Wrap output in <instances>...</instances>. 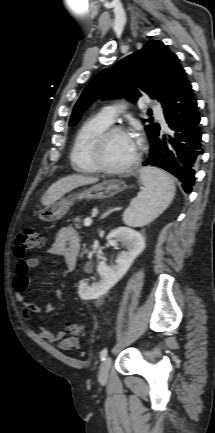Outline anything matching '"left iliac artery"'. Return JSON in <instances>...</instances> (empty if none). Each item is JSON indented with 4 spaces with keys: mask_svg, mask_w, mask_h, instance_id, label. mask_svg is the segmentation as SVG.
Masks as SVG:
<instances>
[{
    "mask_svg": "<svg viewBox=\"0 0 215 433\" xmlns=\"http://www.w3.org/2000/svg\"><path fill=\"white\" fill-rule=\"evenodd\" d=\"M107 353H108L107 349H103V350L100 352V359H101L102 361L106 358Z\"/></svg>",
    "mask_w": 215,
    "mask_h": 433,
    "instance_id": "1",
    "label": "left iliac artery"
}]
</instances>
